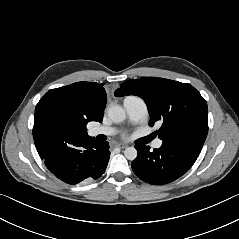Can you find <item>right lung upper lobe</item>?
<instances>
[{
  "mask_svg": "<svg viewBox=\"0 0 239 239\" xmlns=\"http://www.w3.org/2000/svg\"><path fill=\"white\" fill-rule=\"evenodd\" d=\"M103 85L95 82H77L49 90L40 99L35 108L33 128V138L39 154H44L53 144L42 135V129L51 121L68 119L72 124L73 136L80 137H88V122H102L106 105Z\"/></svg>",
  "mask_w": 239,
  "mask_h": 239,
  "instance_id": "right-lung-upper-lobe-1",
  "label": "right lung upper lobe"
}]
</instances>
